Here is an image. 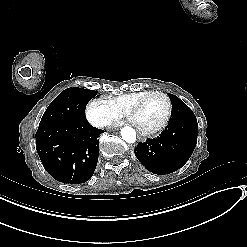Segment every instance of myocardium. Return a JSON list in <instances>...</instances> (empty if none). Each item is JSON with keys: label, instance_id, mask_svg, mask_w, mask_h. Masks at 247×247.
<instances>
[{"label": "myocardium", "instance_id": "myocardium-1", "mask_svg": "<svg viewBox=\"0 0 247 247\" xmlns=\"http://www.w3.org/2000/svg\"><path fill=\"white\" fill-rule=\"evenodd\" d=\"M153 95H160L163 98H165V100H166L165 115H164L162 121L155 126L145 127L139 123V121L141 119V109H142V104H143L144 100H139V101H136L134 103V107L136 108L138 115L133 119V123L140 130V132L142 134H145V135L154 134V133L160 131L162 128H164L166 126V124L168 123V121L170 120V117L172 115V100L170 99V97L166 93L159 91V90H151L150 92H148L146 97H150Z\"/></svg>", "mask_w": 247, "mask_h": 247}]
</instances>
